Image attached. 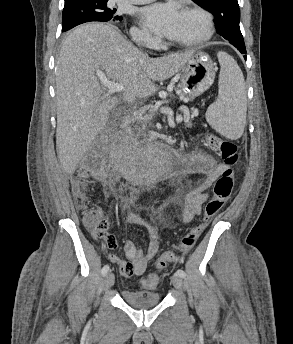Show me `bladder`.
<instances>
[{"label": "bladder", "instance_id": "31cf9c89", "mask_svg": "<svg viewBox=\"0 0 293 344\" xmlns=\"http://www.w3.org/2000/svg\"><path fill=\"white\" fill-rule=\"evenodd\" d=\"M121 294L126 303L138 309L155 307L161 302L158 292L123 289Z\"/></svg>", "mask_w": 293, "mask_h": 344}]
</instances>
